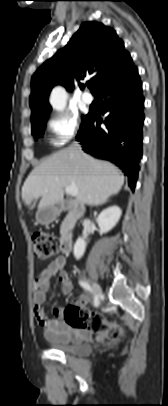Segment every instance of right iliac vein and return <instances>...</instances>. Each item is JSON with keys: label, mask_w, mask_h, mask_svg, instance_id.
I'll return each instance as SVG.
<instances>
[{"label": "right iliac vein", "mask_w": 168, "mask_h": 406, "mask_svg": "<svg viewBox=\"0 0 168 406\" xmlns=\"http://www.w3.org/2000/svg\"><path fill=\"white\" fill-rule=\"evenodd\" d=\"M92 286H93V290H94L95 294L100 296L102 294V289H101L100 285L97 282H93Z\"/></svg>", "instance_id": "1"}]
</instances>
